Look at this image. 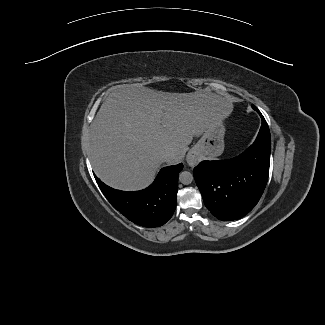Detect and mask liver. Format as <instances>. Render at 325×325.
Here are the masks:
<instances>
[{
	"mask_svg": "<svg viewBox=\"0 0 325 325\" xmlns=\"http://www.w3.org/2000/svg\"><path fill=\"white\" fill-rule=\"evenodd\" d=\"M232 110L229 98L211 92L170 93L138 84L115 87L91 124V165L113 188L141 189L164 162L163 151L173 154L168 163H179L193 137Z\"/></svg>",
	"mask_w": 325,
	"mask_h": 325,
	"instance_id": "liver-1",
	"label": "liver"
}]
</instances>
